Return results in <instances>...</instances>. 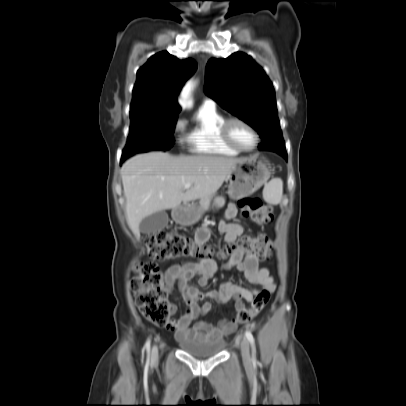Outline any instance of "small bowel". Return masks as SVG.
I'll return each mask as SVG.
<instances>
[{
  "label": "small bowel",
  "mask_w": 406,
  "mask_h": 406,
  "mask_svg": "<svg viewBox=\"0 0 406 406\" xmlns=\"http://www.w3.org/2000/svg\"><path fill=\"white\" fill-rule=\"evenodd\" d=\"M238 209L234 203H230L225 211V218L219 223V231L223 233L227 243H235L244 233V226L232 222L237 215ZM210 229L200 228L195 236V241L204 244L210 237ZM236 268L246 280L255 286L273 291L274 280L267 267H262L259 258L254 255L232 256L223 264L218 266L213 260L200 258L198 262H184L170 266L165 272V283L169 291L176 286L183 295L185 311L182 316L172 319L171 323L165 326L166 330L174 331L177 340H189L194 342H213L221 340L226 334L233 332L237 323L231 320H223L218 324H212L201 317L212 310V303L206 301L199 304L205 298H210L220 303L234 302L236 310L244 308V301H251L259 292V289H248L232 282L226 281L221 284L218 291L203 293L193 285L192 280L199 277L200 286H206L210 279L221 270ZM176 307L172 306V313Z\"/></svg>",
  "instance_id": "small-bowel-1"
}]
</instances>
